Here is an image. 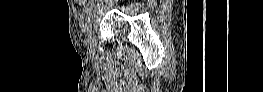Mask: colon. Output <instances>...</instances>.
I'll return each mask as SVG.
<instances>
[{"label": "colon", "mask_w": 263, "mask_h": 92, "mask_svg": "<svg viewBox=\"0 0 263 92\" xmlns=\"http://www.w3.org/2000/svg\"><path fill=\"white\" fill-rule=\"evenodd\" d=\"M80 2H82V3H89V2H92V1L82 0V1H80Z\"/></svg>", "instance_id": "1"}]
</instances>
